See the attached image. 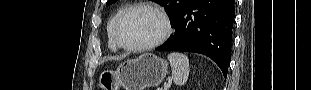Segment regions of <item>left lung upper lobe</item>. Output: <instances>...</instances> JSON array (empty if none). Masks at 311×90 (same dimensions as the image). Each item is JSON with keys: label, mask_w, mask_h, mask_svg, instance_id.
<instances>
[{"label": "left lung upper lobe", "mask_w": 311, "mask_h": 90, "mask_svg": "<svg viewBox=\"0 0 311 90\" xmlns=\"http://www.w3.org/2000/svg\"><path fill=\"white\" fill-rule=\"evenodd\" d=\"M117 0H107L106 5H110ZM162 6H164L165 11L170 15V17L176 22L179 15L187 7L192 0H159L157 1Z\"/></svg>", "instance_id": "left-lung-upper-lobe-1"}]
</instances>
